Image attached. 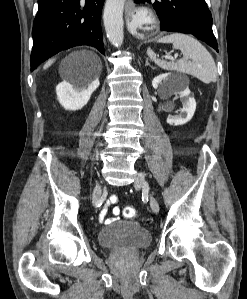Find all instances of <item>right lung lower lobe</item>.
Listing matches in <instances>:
<instances>
[{
  "label": "right lung lower lobe",
  "instance_id": "right-lung-lower-lobe-1",
  "mask_svg": "<svg viewBox=\"0 0 247 299\" xmlns=\"http://www.w3.org/2000/svg\"><path fill=\"white\" fill-rule=\"evenodd\" d=\"M104 0H38L31 71L61 50L89 45L104 54L100 15Z\"/></svg>",
  "mask_w": 247,
  "mask_h": 299
}]
</instances>
